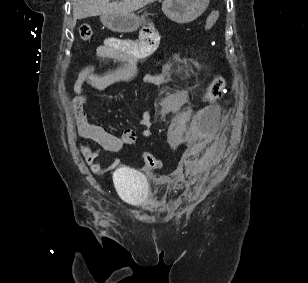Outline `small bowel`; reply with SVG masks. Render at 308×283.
<instances>
[{"label":"small bowel","instance_id":"small-bowel-1","mask_svg":"<svg viewBox=\"0 0 308 283\" xmlns=\"http://www.w3.org/2000/svg\"><path fill=\"white\" fill-rule=\"evenodd\" d=\"M139 35L140 38L136 42L111 37L97 47L98 57L115 60L119 63L118 67L105 73H97L95 68L85 67L75 77L74 92L76 95L72 101V108L77 132L82 139L93 142V144L79 142V151L95 174H105L118 165V159H114L108 164L98 163L101 150L120 151L123 146L135 141L136 132L127 128L117 136L94 123L92 120L95 118L91 117L87 111L88 98L83 87L89 85L98 91H103L117 83L130 81L137 77L139 61L152 54L160 41L159 34L150 23L142 27ZM144 80L159 85L163 78L159 75L146 74ZM186 98L187 93L184 91L168 95L159 104L160 115L165 117L178 111L185 103ZM151 125L152 114L150 111H144L139 119L142 136L149 137L151 135Z\"/></svg>","mask_w":308,"mask_h":283}]
</instances>
